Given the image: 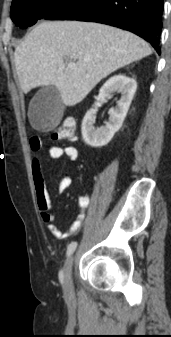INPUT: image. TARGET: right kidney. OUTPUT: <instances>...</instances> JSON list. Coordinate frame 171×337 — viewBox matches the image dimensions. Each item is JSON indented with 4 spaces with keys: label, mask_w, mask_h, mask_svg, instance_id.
<instances>
[{
    "label": "right kidney",
    "mask_w": 171,
    "mask_h": 337,
    "mask_svg": "<svg viewBox=\"0 0 171 337\" xmlns=\"http://www.w3.org/2000/svg\"><path fill=\"white\" fill-rule=\"evenodd\" d=\"M136 89V81L123 74L115 75L106 81L99 91L95 109L87 111L82 121V136L86 144L92 147H102L111 141L123 124ZM114 93H121L117 106L109 110V120L105 123V126L95 128L93 124L96 119L97 108L112 97Z\"/></svg>",
    "instance_id": "right-kidney-1"
}]
</instances>
